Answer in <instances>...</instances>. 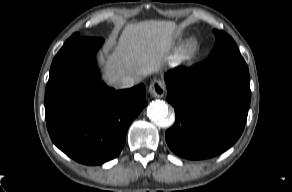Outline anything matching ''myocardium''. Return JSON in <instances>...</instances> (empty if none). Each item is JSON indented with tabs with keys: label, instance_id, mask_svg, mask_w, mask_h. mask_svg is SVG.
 Wrapping results in <instances>:
<instances>
[{
	"label": "myocardium",
	"instance_id": "obj_1",
	"mask_svg": "<svg viewBox=\"0 0 292 192\" xmlns=\"http://www.w3.org/2000/svg\"><path fill=\"white\" fill-rule=\"evenodd\" d=\"M199 48L200 45L197 39L190 38L182 44L178 57L183 62H190L197 56Z\"/></svg>",
	"mask_w": 292,
	"mask_h": 192
}]
</instances>
